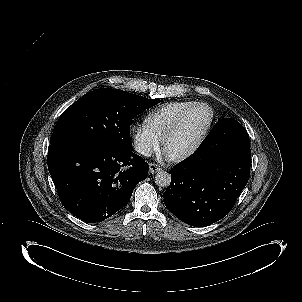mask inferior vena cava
<instances>
[{
  "label": "inferior vena cava",
  "mask_w": 302,
  "mask_h": 302,
  "mask_svg": "<svg viewBox=\"0 0 302 302\" xmlns=\"http://www.w3.org/2000/svg\"><path fill=\"white\" fill-rule=\"evenodd\" d=\"M137 152H139L140 154L144 155V156H151L152 152L145 146H137L136 147Z\"/></svg>",
  "instance_id": "602c4592"
}]
</instances>
